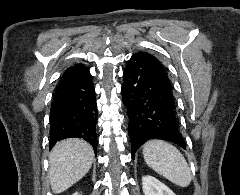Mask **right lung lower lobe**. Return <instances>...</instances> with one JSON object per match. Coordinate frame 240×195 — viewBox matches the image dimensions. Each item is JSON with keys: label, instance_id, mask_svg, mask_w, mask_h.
<instances>
[{"label": "right lung lower lobe", "instance_id": "98d812e1", "mask_svg": "<svg viewBox=\"0 0 240 195\" xmlns=\"http://www.w3.org/2000/svg\"><path fill=\"white\" fill-rule=\"evenodd\" d=\"M97 104L92 76L62 77L55 89L50 109V148L66 138H83L97 149Z\"/></svg>", "mask_w": 240, "mask_h": 195}]
</instances>
